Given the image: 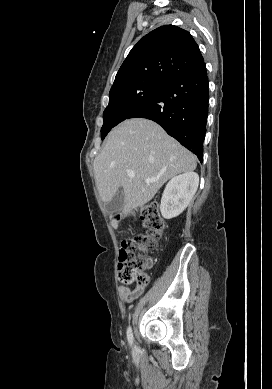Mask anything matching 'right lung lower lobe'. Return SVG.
Listing matches in <instances>:
<instances>
[{
    "instance_id": "98d812e1",
    "label": "right lung lower lobe",
    "mask_w": 272,
    "mask_h": 389,
    "mask_svg": "<svg viewBox=\"0 0 272 389\" xmlns=\"http://www.w3.org/2000/svg\"><path fill=\"white\" fill-rule=\"evenodd\" d=\"M208 100V76L203 62L166 83L127 119L141 117L157 122L202 162Z\"/></svg>"
}]
</instances>
